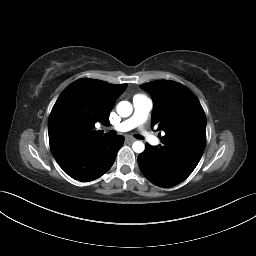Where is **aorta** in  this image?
I'll return each mask as SVG.
<instances>
[{
    "label": "aorta",
    "mask_w": 256,
    "mask_h": 256,
    "mask_svg": "<svg viewBox=\"0 0 256 256\" xmlns=\"http://www.w3.org/2000/svg\"><path fill=\"white\" fill-rule=\"evenodd\" d=\"M116 110L121 117H129L132 114L133 107L130 102L121 101L118 103ZM132 149L135 153H142L145 149V145L142 141H135L132 144Z\"/></svg>",
    "instance_id": "obj_1"
}]
</instances>
